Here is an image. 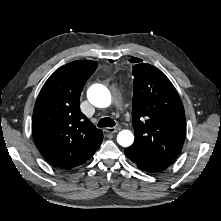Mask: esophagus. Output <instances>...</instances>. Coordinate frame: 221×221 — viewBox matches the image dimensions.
Returning a JSON list of instances; mask_svg holds the SVG:
<instances>
[{"label":"esophagus","instance_id":"obj_1","mask_svg":"<svg viewBox=\"0 0 221 221\" xmlns=\"http://www.w3.org/2000/svg\"><path fill=\"white\" fill-rule=\"evenodd\" d=\"M118 130H119V128H117V127H108L105 129V131L107 133H116V132H118Z\"/></svg>","mask_w":221,"mask_h":221}]
</instances>
